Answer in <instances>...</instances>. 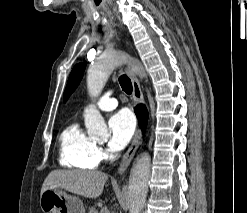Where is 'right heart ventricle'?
<instances>
[{
	"label": "right heart ventricle",
	"mask_w": 247,
	"mask_h": 213,
	"mask_svg": "<svg viewBox=\"0 0 247 213\" xmlns=\"http://www.w3.org/2000/svg\"><path fill=\"white\" fill-rule=\"evenodd\" d=\"M59 162L76 169L93 170L98 166L96 144L77 122L66 126L59 136Z\"/></svg>",
	"instance_id": "obj_1"
}]
</instances>
